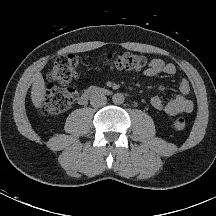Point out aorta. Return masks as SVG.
I'll return each mask as SVG.
<instances>
[{
  "label": "aorta",
  "mask_w": 216,
  "mask_h": 216,
  "mask_svg": "<svg viewBox=\"0 0 216 216\" xmlns=\"http://www.w3.org/2000/svg\"><path fill=\"white\" fill-rule=\"evenodd\" d=\"M125 100V97L122 93H116L112 96V101L116 105L123 104Z\"/></svg>",
  "instance_id": "1"
}]
</instances>
